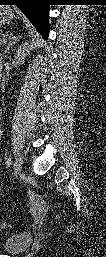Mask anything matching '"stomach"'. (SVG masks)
I'll use <instances>...</instances> for the list:
<instances>
[{"mask_svg": "<svg viewBox=\"0 0 106 257\" xmlns=\"http://www.w3.org/2000/svg\"><path fill=\"white\" fill-rule=\"evenodd\" d=\"M14 18H15V15L10 7L8 6L1 7V12H0L1 25L9 24Z\"/></svg>", "mask_w": 106, "mask_h": 257, "instance_id": "0dacf381", "label": "stomach"}]
</instances>
